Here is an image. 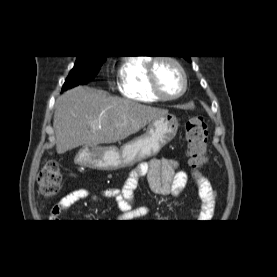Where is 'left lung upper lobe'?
Returning <instances> with one entry per match:
<instances>
[{"mask_svg":"<svg viewBox=\"0 0 277 277\" xmlns=\"http://www.w3.org/2000/svg\"><path fill=\"white\" fill-rule=\"evenodd\" d=\"M187 61H191L190 56L184 57Z\"/></svg>","mask_w":277,"mask_h":277,"instance_id":"obj_1","label":"left lung upper lobe"}]
</instances>
